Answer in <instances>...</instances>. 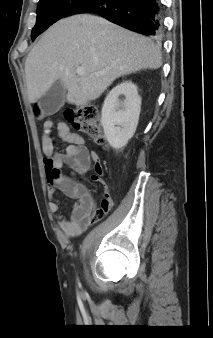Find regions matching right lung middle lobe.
Here are the masks:
<instances>
[{
  "instance_id": "1",
  "label": "right lung middle lobe",
  "mask_w": 213,
  "mask_h": 338,
  "mask_svg": "<svg viewBox=\"0 0 213 338\" xmlns=\"http://www.w3.org/2000/svg\"><path fill=\"white\" fill-rule=\"evenodd\" d=\"M92 0H40L37 20L32 30V40L56 21L73 14L74 11Z\"/></svg>"
}]
</instances>
